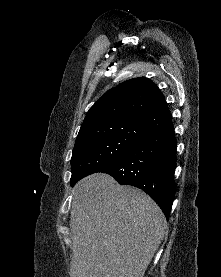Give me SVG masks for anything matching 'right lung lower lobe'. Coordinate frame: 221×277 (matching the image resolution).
I'll return each mask as SVG.
<instances>
[{
	"instance_id": "98d812e1",
	"label": "right lung lower lobe",
	"mask_w": 221,
	"mask_h": 277,
	"mask_svg": "<svg viewBox=\"0 0 221 277\" xmlns=\"http://www.w3.org/2000/svg\"><path fill=\"white\" fill-rule=\"evenodd\" d=\"M141 136L118 161L100 172L121 185L145 191L161 207L167 219L175 196L176 139L167 105L139 120Z\"/></svg>"
}]
</instances>
